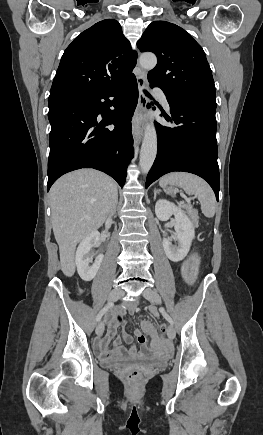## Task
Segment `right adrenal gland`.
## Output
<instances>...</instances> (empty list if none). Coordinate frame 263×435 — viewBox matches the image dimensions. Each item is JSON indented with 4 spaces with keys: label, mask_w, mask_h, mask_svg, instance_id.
<instances>
[{
    "label": "right adrenal gland",
    "mask_w": 263,
    "mask_h": 435,
    "mask_svg": "<svg viewBox=\"0 0 263 435\" xmlns=\"http://www.w3.org/2000/svg\"><path fill=\"white\" fill-rule=\"evenodd\" d=\"M117 204H118V197H117V200H116L115 204L113 205V211H114V212H115V210H116V206H117Z\"/></svg>",
    "instance_id": "obj_1"
}]
</instances>
